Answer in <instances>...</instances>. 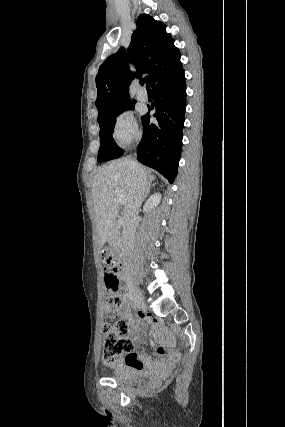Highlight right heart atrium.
Here are the masks:
<instances>
[{
    "instance_id": "obj_1",
    "label": "right heart atrium",
    "mask_w": 285,
    "mask_h": 427,
    "mask_svg": "<svg viewBox=\"0 0 285 427\" xmlns=\"http://www.w3.org/2000/svg\"><path fill=\"white\" fill-rule=\"evenodd\" d=\"M112 135L117 144L122 147L138 137L139 130L132 113L125 111L117 116Z\"/></svg>"
}]
</instances>
